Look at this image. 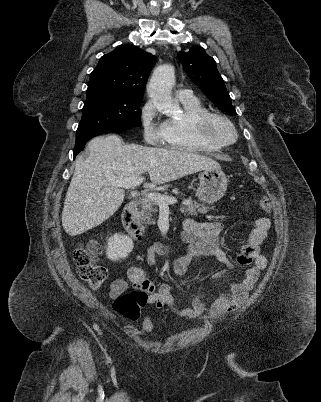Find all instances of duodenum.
I'll list each match as a JSON object with an SVG mask.
<instances>
[{
	"label": "duodenum",
	"mask_w": 321,
	"mask_h": 402,
	"mask_svg": "<svg viewBox=\"0 0 321 402\" xmlns=\"http://www.w3.org/2000/svg\"><path fill=\"white\" fill-rule=\"evenodd\" d=\"M137 213V202L130 201L122 213V222L125 229L134 237V239L137 241H143L145 238V228L138 219Z\"/></svg>",
	"instance_id": "duodenum-1"
}]
</instances>
